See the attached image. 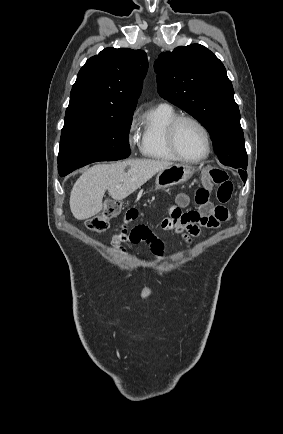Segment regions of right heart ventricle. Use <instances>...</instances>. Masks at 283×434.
Wrapping results in <instances>:
<instances>
[{"mask_svg":"<svg viewBox=\"0 0 283 434\" xmlns=\"http://www.w3.org/2000/svg\"><path fill=\"white\" fill-rule=\"evenodd\" d=\"M176 116L177 112L169 105H158L146 114L140 138L143 156L166 162L178 160L170 151L166 138L167 127Z\"/></svg>","mask_w":283,"mask_h":434,"instance_id":"right-heart-ventricle-1","label":"right heart ventricle"}]
</instances>
